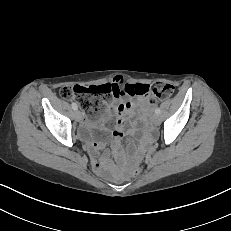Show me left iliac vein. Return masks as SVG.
Listing matches in <instances>:
<instances>
[{
  "label": "left iliac vein",
  "mask_w": 231,
  "mask_h": 231,
  "mask_svg": "<svg viewBox=\"0 0 231 231\" xmlns=\"http://www.w3.org/2000/svg\"><path fill=\"white\" fill-rule=\"evenodd\" d=\"M151 121L154 125H158L160 124V116L158 114H154L152 117H151Z\"/></svg>",
  "instance_id": "obj_1"
}]
</instances>
